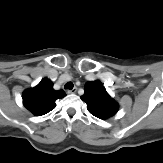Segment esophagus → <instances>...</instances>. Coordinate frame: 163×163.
Listing matches in <instances>:
<instances>
[{
  "mask_svg": "<svg viewBox=\"0 0 163 163\" xmlns=\"http://www.w3.org/2000/svg\"><path fill=\"white\" fill-rule=\"evenodd\" d=\"M76 91H77V88H73V89H71V90H68L67 93H68V94H75Z\"/></svg>",
  "mask_w": 163,
  "mask_h": 163,
  "instance_id": "obj_1",
  "label": "esophagus"
}]
</instances>
